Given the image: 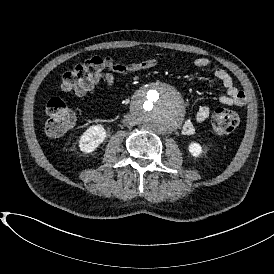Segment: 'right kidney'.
I'll use <instances>...</instances> for the list:
<instances>
[{"label": "right kidney", "instance_id": "ca27d5eb", "mask_svg": "<svg viewBox=\"0 0 274 274\" xmlns=\"http://www.w3.org/2000/svg\"><path fill=\"white\" fill-rule=\"evenodd\" d=\"M106 136V130L101 124L92 125L81 135L79 148L84 153H91L103 143Z\"/></svg>", "mask_w": 274, "mask_h": 274}]
</instances>
